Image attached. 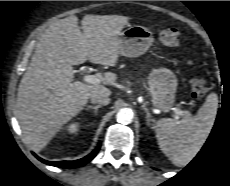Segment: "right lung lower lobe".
Returning a JSON list of instances; mask_svg holds the SVG:
<instances>
[{"label":"right lung lower lobe","instance_id":"right-lung-lower-lobe-1","mask_svg":"<svg viewBox=\"0 0 230 186\" xmlns=\"http://www.w3.org/2000/svg\"><path fill=\"white\" fill-rule=\"evenodd\" d=\"M100 149V145H98V147L89 155H87L86 157L82 158V159H78L75 161H58V162H51V161H46L43 160L42 158L38 157L37 155H35L41 162L47 164V165H52L55 167H60V168H77L80 166L85 165L87 162L91 161L96 154L98 153Z\"/></svg>","mask_w":230,"mask_h":186}]
</instances>
